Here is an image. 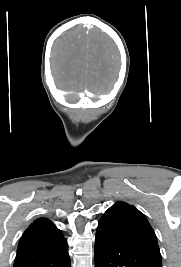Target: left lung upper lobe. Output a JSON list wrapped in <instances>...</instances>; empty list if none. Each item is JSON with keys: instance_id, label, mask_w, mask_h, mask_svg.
Here are the masks:
<instances>
[{"instance_id": "left-lung-upper-lobe-1", "label": "left lung upper lobe", "mask_w": 181, "mask_h": 267, "mask_svg": "<svg viewBox=\"0 0 181 267\" xmlns=\"http://www.w3.org/2000/svg\"><path fill=\"white\" fill-rule=\"evenodd\" d=\"M98 229L111 231L161 257L156 235L148 220L125 202L111 206L101 217Z\"/></svg>"}]
</instances>
